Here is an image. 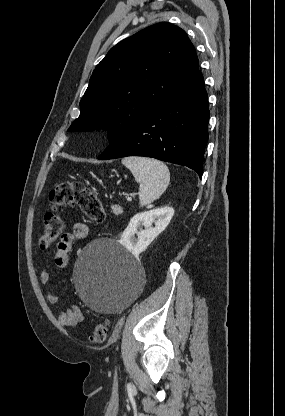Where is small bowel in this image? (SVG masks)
Listing matches in <instances>:
<instances>
[{"mask_svg":"<svg viewBox=\"0 0 285 416\" xmlns=\"http://www.w3.org/2000/svg\"><path fill=\"white\" fill-rule=\"evenodd\" d=\"M89 234V227L84 223H76L73 226L72 232L63 234L57 245V251L54 257L55 265L59 268H64L69 263V253L75 241L85 239ZM51 280V275L47 270L40 273V282L44 285ZM47 300L51 304H58L59 297L56 293L50 291L47 293ZM84 319L81 309L73 305L70 308L61 311L58 315V323L64 327H75Z\"/></svg>","mask_w":285,"mask_h":416,"instance_id":"1","label":"small bowel"}]
</instances>
